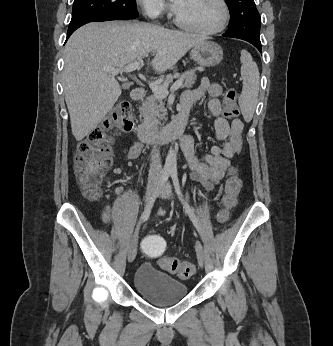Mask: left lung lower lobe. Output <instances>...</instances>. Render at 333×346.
Segmentation results:
<instances>
[{"label": "left lung lower lobe", "mask_w": 333, "mask_h": 346, "mask_svg": "<svg viewBox=\"0 0 333 346\" xmlns=\"http://www.w3.org/2000/svg\"><path fill=\"white\" fill-rule=\"evenodd\" d=\"M223 36L243 39V40L253 44L261 52V42H259V41H254V40L246 39V38L234 35V34H229L227 32L224 33Z\"/></svg>", "instance_id": "0a47b994"}]
</instances>
